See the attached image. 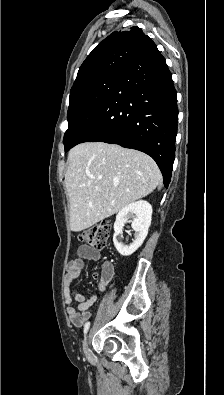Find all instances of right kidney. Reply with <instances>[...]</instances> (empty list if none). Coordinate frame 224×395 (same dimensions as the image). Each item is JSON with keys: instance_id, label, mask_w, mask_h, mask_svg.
Instances as JSON below:
<instances>
[{"instance_id": "obj_1", "label": "right kidney", "mask_w": 224, "mask_h": 395, "mask_svg": "<svg viewBox=\"0 0 224 395\" xmlns=\"http://www.w3.org/2000/svg\"><path fill=\"white\" fill-rule=\"evenodd\" d=\"M133 216L131 226L135 231V240L130 245H124L121 242L122 230L129 218ZM152 206L147 201L133 202L123 209H121L114 223V236L113 242L117 251L122 256H130L133 254L143 243L148 234V228L151 225Z\"/></svg>"}]
</instances>
